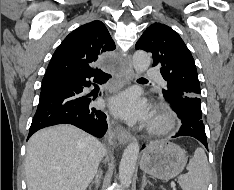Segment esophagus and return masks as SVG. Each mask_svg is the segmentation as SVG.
Masks as SVG:
<instances>
[{"instance_id": "34e87169", "label": "esophagus", "mask_w": 234, "mask_h": 190, "mask_svg": "<svg viewBox=\"0 0 234 190\" xmlns=\"http://www.w3.org/2000/svg\"><path fill=\"white\" fill-rule=\"evenodd\" d=\"M133 77H134V71L130 65L125 72L124 83L125 84L130 83ZM116 135L119 143L122 145L127 144L132 138L131 133L121 125H117Z\"/></svg>"}]
</instances>
